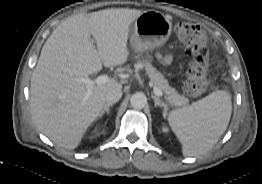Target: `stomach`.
<instances>
[{
  "label": "stomach",
  "instance_id": "stomach-1",
  "mask_svg": "<svg viewBox=\"0 0 262 184\" xmlns=\"http://www.w3.org/2000/svg\"><path fill=\"white\" fill-rule=\"evenodd\" d=\"M172 33L171 21L158 11L142 12L131 26L130 44L136 53L160 48Z\"/></svg>",
  "mask_w": 262,
  "mask_h": 184
}]
</instances>
